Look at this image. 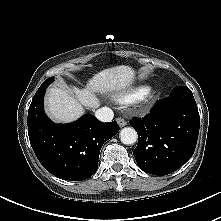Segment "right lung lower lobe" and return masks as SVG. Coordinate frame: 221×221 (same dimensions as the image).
Here are the masks:
<instances>
[{"mask_svg": "<svg viewBox=\"0 0 221 221\" xmlns=\"http://www.w3.org/2000/svg\"><path fill=\"white\" fill-rule=\"evenodd\" d=\"M45 88L39 87L28 110L32 149L51 174L69 181L85 180L97 171L101 147L119 126L116 121L102 123L91 114L71 124L53 123L43 109Z\"/></svg>", "mask_w": 221, "mask_h": 221, "instance_id": "right-lung-lower-lobe-1", "label": "right lung lower lobe"}]
</instances>
